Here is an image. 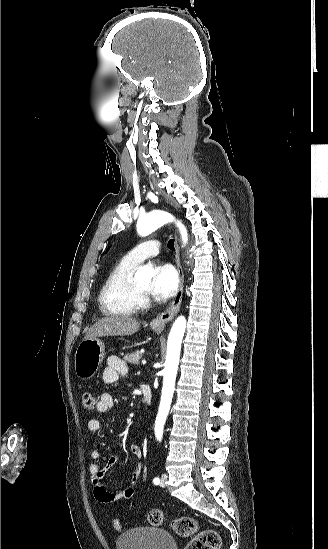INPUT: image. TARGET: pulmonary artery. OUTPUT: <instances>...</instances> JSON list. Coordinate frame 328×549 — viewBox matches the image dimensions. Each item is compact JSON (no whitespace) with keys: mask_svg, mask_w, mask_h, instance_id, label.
<instances>
[{"mask_svg":"<svg viewBox=\"0 0 328 549\" xmlns=\"http://www.w3.org/2000/svg\"><path fill=\"white\" fill-rule=\"evenodd\" d=\"M163 241L160 237H153L151 241H143L141 246H137L130 250L126 257L134 262H143L149 257H156L159 252L157 248H160Z\"/></svg>","mask_w":328,"mask_h":549,"instance_id":"e3ab8cb5","label":"pulmonary artery"}]
</instances>
